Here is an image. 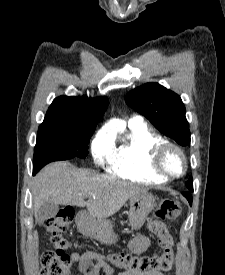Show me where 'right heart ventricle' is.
<instances>
[{"label":"right heart ventricle","mask_w":225,"mask_h":275,"mask_svg":"<svg viewBox=\"0 0 225 275\" xmlns=\"http://www.w3.org/2000/svg\"><path fill=\"white\" fill-rule=\"evenodd\" d=\"M166 142L163 136L144 123L129 124L124 142L114 148L108 159L107 171L121 179L135 183L155 185L164 183L151 167L153 150Z\"/></svg>","instance_id":"obj_1"}]
</instances>
